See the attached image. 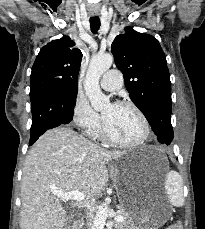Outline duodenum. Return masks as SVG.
<instances>
[{
	"label": "duodenum",
	"mask_w": 205,
	"mask_h": 229,
	"mask_svg": "<svg viewBox=\"0 0 205 229\" xmlns=\"http://www.w3.org/2000/svg\"><path fill=\"white\" fill-rule=\"evenodd\" d=\"M80 223H81V221H80V220H78L74 226H71V227L66 228V229H78V227H79Z\"/></svg>",
	"instance_id": "410a0bca"
}]
</instances>
